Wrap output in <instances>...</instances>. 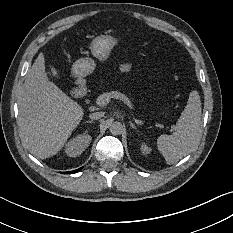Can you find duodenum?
<instances>
[{"instance_id": "1", "label": "duodenum", "mask_w": 233, "mask_h": 233, "mask_svg": "<svg viewBox=\"0 0 233 233\" xmlns=\"http://www.w3.org/2000/svg\"><path fill=\"white\" fill-rule=\"evenodd\" d=\"M88 88L84 79H78L76 86L71 91L73 98H81L87 94Z\"/></svg>"}]
</instances>
